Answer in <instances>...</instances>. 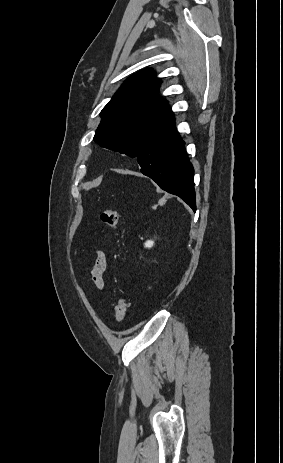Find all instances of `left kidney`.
Returning a JSON list of instances; mask_svg holds the SVG:
<instances>
[{
	"label": "left kidney",
	"instance_id": "1",
	"mask_svg": "<svg viewBox=\"0 0 283 463\" xmlns=\"http://www.w3.org/2000/svg\"><path fill=\"white\" fill-rule=\"evenodd\" d=\"M153 245H154V241H152V240H148V241H146L145 244H144V246H145L146 248H152Z\"/></svg>",
	"mask_w": 283,
	"mask_h": 463
}]
</instances>
